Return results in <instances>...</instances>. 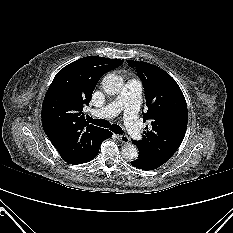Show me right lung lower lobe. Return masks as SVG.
Segmentation results:
<instances>
[{
    "label": "right lung lower lobe",
    "mask_w": 233,
    "mask_h": 233,
    "mask_svg": "<svg viewBox=\"0 0 233 233\" xmlns=\"http://www.w3.org/2000/svg\"><path fill=\"white\" fill-rule=\"evenodd\" d=\"M112 136V132H110L109 130L104 129V131L101 134V137L99 139V141L95 144L94 147H92L80 160H78L77 162L73 163V164H82V163H86L88 161H91L92 159H94L98 152H99V148L101 143L107 139L110 138Z\"/></svg>",
    "instance_id": "obj_1"
}]
</instances>
